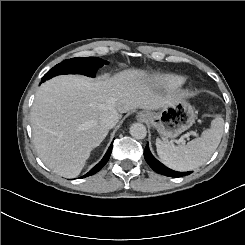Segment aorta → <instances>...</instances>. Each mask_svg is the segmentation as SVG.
Segmentation results:
<instances>
[{
	"label": "aorta",
	"mask_w": 245,
	"mask_h": 245,
	"mask_svg": "<svg viewBox=\"0 0 245 245\" xmlns=\"http://www.w3.org/2000/svg\"><path fill=\"white\" fill-rule=\"evenodd\" d=\"M130 134L135 139H144L147 134L146 127L141 123H134L130 127Z\"/></svg>",
	"instance_id": "obj_1"
}]
</instances>
